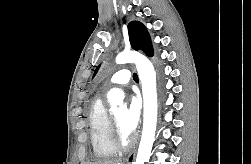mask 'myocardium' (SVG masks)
Segmentation results:
<instances>
[{
	"instance_id": "1",
	"label": "myocardium",
	"mask_w": 251,
	"mask_h": 164,
	"mask_svg": "<svg viewBox=\"0 0 251 164\" xmlns=\"http://www.w3.org/2000/svg\"><path fill=\"white\" fill-rule=\"evenodd\" d=\"M110 122L114 144L119 150L128 149L134 142L133 136L131 134L124 135L119 125L117 124L113 114H110Z\"/></svg>"
}]
</instances>
